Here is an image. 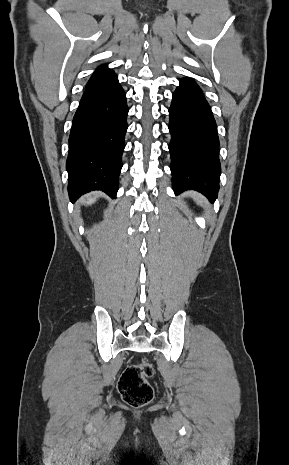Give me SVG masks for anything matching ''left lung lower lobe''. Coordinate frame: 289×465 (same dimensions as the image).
Masks as SVG:
<instances>
[{"instance_id": "0a47b994", "label": "left lung lower lobe", "mask_w": 289, "mask_h": 465, "mask_svg": "<svg viewBox=\"0 0 289 465\" xmlns=\"http://www.w3.org/2000/svg\"><path fill=\"white\" fill-rule=\"evenodd\" d=\"M171 173L176 194L193 189L211 202L220 178L219 139L215 119L199 86L182 79L169 109Z\"/></svg>"}]
</instances>
